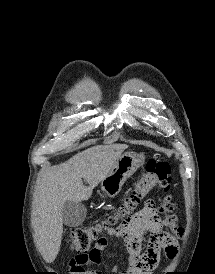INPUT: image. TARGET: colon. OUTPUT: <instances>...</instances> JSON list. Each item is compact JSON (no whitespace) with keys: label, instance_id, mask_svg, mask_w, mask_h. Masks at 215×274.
<instances>
[{"label":"colon","instance_id":"1","mask_svg":"<svg viewBox=\"0 0 215 274\" xmlns=\"http://www.w3.org/2000/svg\"><path fill=\"white\" fill-rule=\"evenodd\" d=\"M170 183L171 169L169 164L165 161L150 159L146 164L145 171L135 182L131 193L114 215L101 224L79 226L72 229L69 235L72 247L81 254L90 252L92 244L97 240L104 228L130 214L155 188L160 189L164 193L161 198L160 210L165 215V225L170 229V232H166L164 237L169 241L177 242L178 239L183 237L184 230L177 225V219L173 213L174 205L171 195L168 193Z\"/></svg>","mask_w":215,"mask_h":274}]
</instances>
